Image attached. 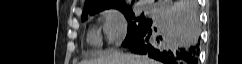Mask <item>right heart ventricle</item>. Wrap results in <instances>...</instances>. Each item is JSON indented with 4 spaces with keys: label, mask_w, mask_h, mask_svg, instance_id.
Instances as JSON below:
<instances>
[{
    "label": "right heart ventricle",
    "mask_w": 242,
    "mask_h": 64,
    "mask_svg": "<svg viewBox=\"0 0 242 64\" xmlns=\"http://www.w3.org/2000/svg\"><path fill=\"white\" fill-rule=\"evenodd\" d=\"M88 41L93 45H98L100 42L99 35L96 31L90 30L88 33Z\"/></svg>",
    "instance_id": "1"
}]
</instances>
